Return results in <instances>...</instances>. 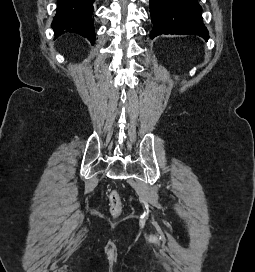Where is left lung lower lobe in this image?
Instances as JSON below:
<instances>
[{"instance_id": "1", "label": "left lung lower lobe", "mask_w": 255, "mask_h": 272, "mask_svg": "<svg viewBox=\"0 0 255 272\" xmlns=\"http://www.w3.org/2000/svg\"><path fill=\"white\" fill-rule=\"evenodd\" d=\"M197 0H150L154 27L150 37L161 34L198 35L208 39Z\"/></svg>"}]
</instances>
